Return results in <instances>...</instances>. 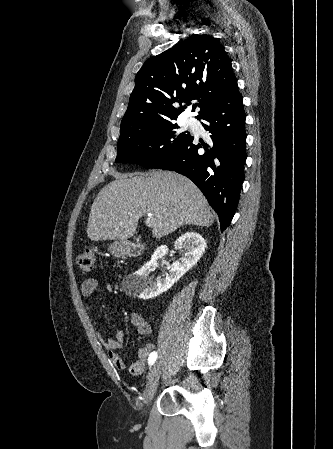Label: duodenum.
Returning <instances> with one entry per match:
<instances>
[{
  "instance_id": "duodenum-1",
  "label": "duodenum",
  "mask_w": 333,
  "mask_h": 449,
  "mask_svg": "<svg viewBox=\"0 0 333 449\" xmlns=\"http://www.w3.org/2000/svg\"><path fill=\"white\" fill-rule=\"evenodd\" d=\"M119 253L125 256H139L142 253V248L139 245L124 243L119 248Z\"/></svg>"
}]
</instances>
